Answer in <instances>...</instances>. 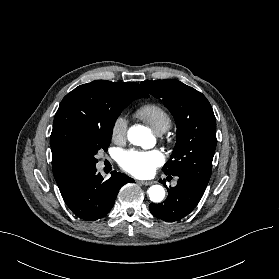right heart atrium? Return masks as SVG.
<instances>
[{
	"label": "right heart atrium",
	"instance_id": "d8ad5b80",
	"mask_svg": "<svg viewBox=\"0 0 279 279\" xmlns=\"http://www.w3.org/2000/svg\"><path fill=\"white\" fill-rule=\"evenodd\" d=\"M128 130V120L127 118L119 114L117 115L112 124L110 129L111 138L116 143H121L126 139Z\"/></svg>",
	"mask_w": 279,
	"mask_h": 279
}]
</instances>
